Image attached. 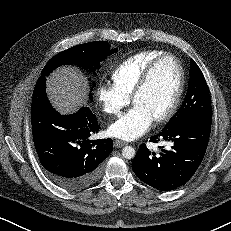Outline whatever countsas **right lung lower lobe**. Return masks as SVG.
Segmentation results:
<instances>
[{
  "instance_id": "1",
  "label": "right lung lower lobe",
  "mask_w": 231,
  "mask_h": 231,
  "mask_svg": "<svg viewBox=\"0 0 231 231\" xmlns=\"http://www.w3.org/2000/svg\"><path fill=\"white\" fill-rule=\"evenodd\" d=\"M46 78L36 82L31 105L32 134L36 152L49 179L76 191L93 184L101 175L104 159L113 150L112 139L90 140L100 126L87 107L61 115L50 104Z\"/></svg>"
}]
</instances>
